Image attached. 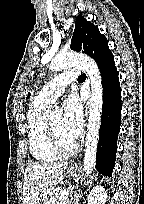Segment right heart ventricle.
<instances>
[{
  "label": "right heart ventricle",
  "instance_id": "e07e8e85",
  "mask_svg": "<svg viewBox=\"0 0 144 204\" xmlns=\"http://www.w3.org/2000/svg\"><path fill=\"white\" fill-rule=\"evenodd\" d=\"M47 105L35 100L28 112V142L30 153L39 162L50 163L59 159L47 131L44 112Z\"/></svg>",
  "mask_w": 144,
  "mask_h": 204
}]
</instances>
